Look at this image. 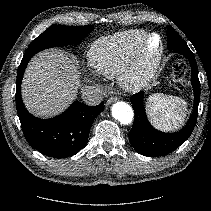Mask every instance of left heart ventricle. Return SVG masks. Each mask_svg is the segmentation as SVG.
<instances>
[{"label":"left heart ventricle","mask_w":211,"mask_h":211,"mask_svg":"<svg viewBox=\"0 0 211 211\" xmlns=\"http://www.w3.org/2000/svg\"><path fill=\"white\" fill-rule=\"evenodd\" d=\"M158 48V39L157 38H153L150 40V42L147 45V53L149 56H152Z\"/></svg>","instance_id":"obj_1"}]
</instances>
